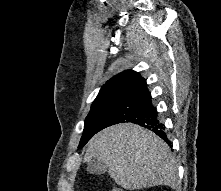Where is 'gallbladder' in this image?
I'll return each mask as SVG.
<instances>
[{"label":"gallbladder","mask_w":221,"mask_h":191,"mask_svg":"<svg viewBox=\"0 0 221 191\" xmlns=\"http://www.w3.org/2000/svg\"><path fill=\"white\" fill-rule=\"evenodd\" d=\"M87 171L90 174L101 175L107 171V166L102 160L94 158L88 163Z\"/></svg>","instance_id":"bac80fb5"}]
</instances>
